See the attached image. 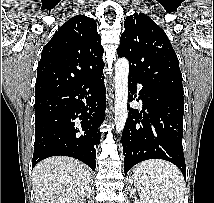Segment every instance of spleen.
Wrapping results in <instances>:
<instances>
[{"label": "spleen", "mask_w": 214, "mask_h": 203, "mask_svg": "<svg viewBox=\"0 0 214 203\" xmlns=\"http://www.w3.org/2000/svg\"><path fill=\"white\" fill-rule=\"evenodd\" d=\"M144 203H183L185 183L181 172L169 162L139 163L132 177Z\"/></svg>", "instance_id": "spleen-1"}]
</instances>
